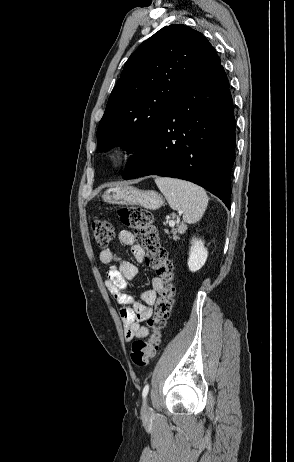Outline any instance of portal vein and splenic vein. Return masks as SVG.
<instances>
[{
  "label": "portal vein and splenic vein",
  "mask_w": 294,
  "mask_h": 462,
  "mask_svg": "<svg viewBox=\"0 0 294 462\" xmlns=\"http://www.w3.org/2000/svg\"><path fill=\"white\" fill-rule=\"evenodd\" d=\"M169 225H170V226H174V225H175V222L171 220V221H169Z\"/></svg>",
  "instance_id": "1"
}]
</instances>
